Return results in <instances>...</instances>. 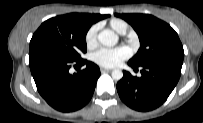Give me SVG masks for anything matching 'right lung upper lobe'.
<instances>
[{
	"mask_svg": "<svg viewBox=\"0 0 203 123\" xmlns=\"http://www.w3.org/2000/svg\"><path fill=\"white\" fill-rule=\"evenodd\" d=\"M87 23L92 25L93 23L98 22L99 20H102L104 18L109 17V15H101V14H87V13H81L79 14Z\"/></svg>",
	"mask_w": 203,
	"mask_h": 123,
	"instance_id": "right-lung-upper-lobe-1",
	"label": "right lung upper lobe"
}]
</instances>
